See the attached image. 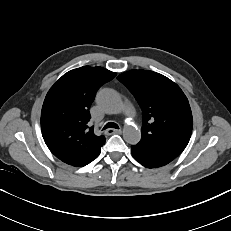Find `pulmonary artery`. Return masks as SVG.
<instances>
[{
  "mask_svg": "<svg viewBox=\"0 0 231 231\" xmlns=\"http://www.w3.org/2000/svg\"><path fill=\"white\" fill-rule=\"evenodd\" d=\"M124 112L127 114V115H132L134 113V110H133V107L130 103H126L124 105Z\"/></svg>",
  "mask_w": 231,
  "mask_h": 231,
  "instance_id": "obj_1",
  "label": "pulmonary artery"
}]
</instances>
